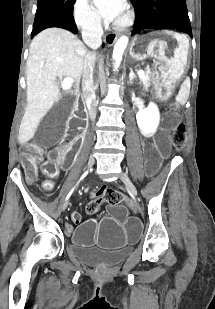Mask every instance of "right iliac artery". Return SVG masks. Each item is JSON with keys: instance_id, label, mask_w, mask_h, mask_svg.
I'll use <instances>...</instances> for the list:
<instances>
[{"instance_id": "obj_1", "label": "right iliac artery", "mask_w": 215, "mask_h": 309, "mask_svg": "<svg viewBox=\"0 0 215 309\" xmlns=\"http://www.w3.org/2000/svg\"><path fill=\"white\" fill-rule=\"evenodd\" d=\"M88 172H85L81 178L79 179V181L76 183V185L74 187H72V189L70 190V192L67 194L66 196V201L70 198L71 194L73 193L75 187L78 185V183L87 175ZM67 203V202H66Z\"/></svg>"}]
</instances>
